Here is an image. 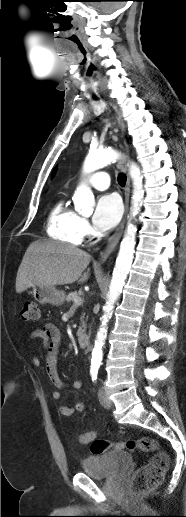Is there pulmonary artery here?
I'll list each match as a JSON object with an SVG mask.
<instances>
[{"instance_id": "pulmonary-artery-1", "label": "pulmonary artery", "mask_w": 186, "mask_h": 517, "mask_svg": "<svg viewBox=\"0 0 186 517\" xmlns=\"http://www.w3.org/2000/svg\"><path fill=\"white\" fill-rule=\"evenodd\" d=\"M88 183L97 190H105L109 187V176L104 172H98L88 178Z\"/></svg>"}]
</instances>
